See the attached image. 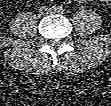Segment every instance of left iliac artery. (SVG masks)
<instances>
[{
    "label": "left iliac artery",
    "mask_w": 111,
    "mask_h": 106,
    "mask_svg": "<svg viewBox=\"0 0 111 106\" xmlns=\"http://www.w3.org/2000/svg\"><path fill=\"white\" fill-rule=\"evenodd\" d=\"M64 10H65V8H64L63 6H60V7H59V11H62V12H63Z\"/></svg>",
    "instance_id": "left-iliac-artery-1"
}]
</instances>
